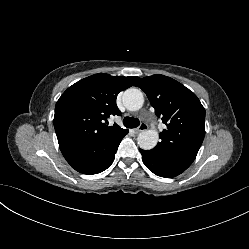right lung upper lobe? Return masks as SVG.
Masks as SVG:
<instances>
[{"mask_svg": "<svg viewBox=\"0 0 249 249\" xmlns=\"http://www.w3.org/2000/svg\"><path fill=\"white\" fill-rule=\"evenodd\" d=\"M138 80L99 73L70 86L55 106L53 122L59 145L95 143L127 131L105 122L110 115L121 114L116 105L118 93Z\"/></svg>", "mask_w": 249, "mask_h": 249, "instance_id": "cb5924a9", "label": "right lung upper lobe"}]
</instances>
